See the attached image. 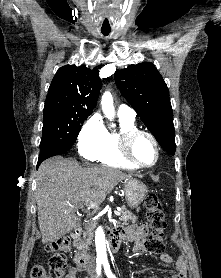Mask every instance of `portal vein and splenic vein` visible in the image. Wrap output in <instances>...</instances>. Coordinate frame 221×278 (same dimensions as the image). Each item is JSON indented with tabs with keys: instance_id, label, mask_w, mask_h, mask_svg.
Instances as JSON below:
<instances>
[{
	"instance_id": "obj_1",
	"label": "portal vein and splenic vein",
	"mask_w": 221,
	"mask_h": 278,
	"mask_svg": "<svg viewBox=\"0 0 221 278\" xmlns=\"http://www.w3.org/2000/svg\"><path fill=\"white\" fill-rule=\"evenodd\" d=\"M84 204L92 209H94L95 211H97L99 209V205L96 202L91 201L90 199H86L84 201ZM114 214L117 216H120L121 213L119 210H114Z\"/></svg>"
}]
</instances>
